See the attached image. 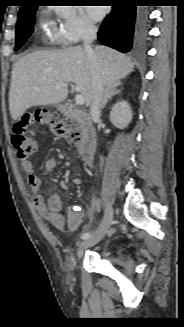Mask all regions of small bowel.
<instances>
[{"mask_svg": "<svg viewBox=\"0 0 184 327\" xmlns=\"http://www.w3.org/2000/svg\"><path fill=\"white\" fill-rule=\"evenodd\" d=\"M57 166L54 159H49L45 163L46 171L50 172ZM23 169L27 174L28 184L34 193L33 202L40 214L56 229L63 230L65 226L70 231H76L83 223L84 212L78 205L68 207L67 214L61 212L62 203L58 195H52L48 200L40 194L41 180L36 175L34 164L31 161L23 163Z\"/></svg>", "mask_w": 184, "mask_h": 327, "instance_id": "c3829d8e", "label": "small bowel"}]
</instances>
